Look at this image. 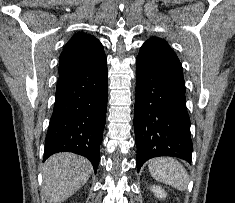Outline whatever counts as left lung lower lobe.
<instances>
[{
	"mask_svg": "<svg viewBox=\"0 0 235 203\" xmlns=\"http://www.w3.org/2000/svg\"><path fill=\"white\" fill-rule=\"evenodd\" d=\"M134 129L138 172L147 160L158 156L191 163L183 69L175 52L160 38L146 41L136 59Z\"/></svg>",
	"mask_w": 235,
	"mask_h": 203,
	"instance_id": "left-lung-lower-lobe-1",
	"label": "left lung lower lobe"
}]
</instances>
